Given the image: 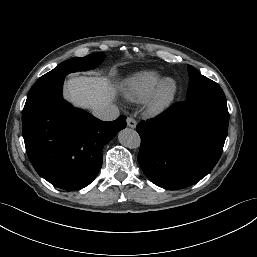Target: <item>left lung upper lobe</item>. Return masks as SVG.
<instances>
[{
    "label": "left lung upper lobe",
    "mask_w": 257,
    "mask_h": 257,
    "mask_svg": "<svg viewBox=\"0 0 257 257\" xmlns=\"http://www.w3.org/2000/svg\"><path fill=\"white\" fill-rule=\"evenodd\" d=\"M188 73L190 81L186 100H200L212 97L225 98L223 90L217 83L201 75L191 65H188Z\"/></svg>",
    "instance_id": "left-lung-upper-lobe-1"
}]
</instances>
